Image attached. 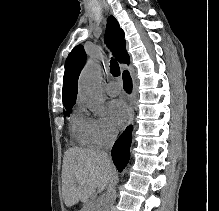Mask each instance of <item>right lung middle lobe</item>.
I'll return each instance as SVG.
<instances>
[{"label":"right lung middle lobe","instance_id":"obj_1","mask_svg":"<svg viewBox=\"0 0 219 211\" xmlns=\"http://www.w3.org/2000/svg\"><path fill=\"white\" fill-rule=\"evenodd\" d=\"M73 105H74V103H71V104H65L64 105V107H65V110H64V116H66V115H68L69 116V114H70V112H71V109H72V107H73Z\"/></svg>","mask_w":219,"mask_h":211}]
</instances>
